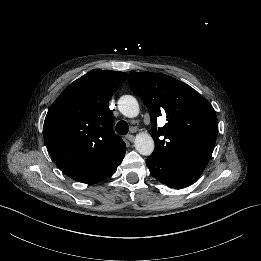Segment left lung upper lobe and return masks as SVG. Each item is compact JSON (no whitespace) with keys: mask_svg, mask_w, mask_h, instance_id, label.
Wrapping results in <instances>:
<instances>
[{"mask_svg":"<svg viewBox=\"0 0 261 261\" xmlns=\"http://www.w3.org/2000/svg\"><path fill=\"white\" fill-rule=\"evenodd\" d=\"M131 90L148 108L155 141L152 156L204 170L217 138L218 122L210 102L189 85L164 74L131 72ZM167 123L157 128V117Z\"/></svg>","mask_w":261,"mask_h":261,"instance_id":"1","label":"left lung upper lobe"}]
</instances>
